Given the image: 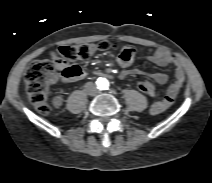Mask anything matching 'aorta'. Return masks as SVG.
Wrapping results in <instances>:
<instances>
[{
  "label": "aorta",
  "instance_id": "1",
  "mask_svg": "<svg viewBox=\"0 0 212 183\" xmlns=\"http://www.w3.org/2000/svg\"><path fill=\"white\" fill-rule=\"evenodd\" d=\"M96 83L101 90H107L109 88V81L106 78L100 77Z\"/></svg>",
  "mask_w": 212,
  "mask_h": 183
}]
</instances>
